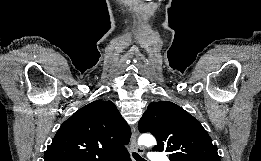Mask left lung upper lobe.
<instances>
[{"mask_svg":"<svg viewBox=\"0 0 261 161\" xmlns=\"http://www.w3.org/2000/svg\"><path fill=\"white\" fill-rule=\"evenodd\" d=\"M138 127L156 137L153 151L169 152L170 161H220L217 146L200 122L170 101L150 103Z\"/></svg>","mask_w":261,"mask_h":161,"instance_id":"5c2ea615","label":"left lung upper lobe"}]
</instances>
